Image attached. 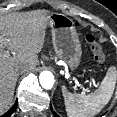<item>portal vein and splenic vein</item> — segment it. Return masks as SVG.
Here are the masks:
<instances>
[{
	"mask_svg": "<svg viewBox=\"0 0 117 117\" xmlns=\"http://www.w3.org/2000/svg\"><path fill=\"white\" fill-rule=\"evenodd\" d=\"M5 56H6V57L9 56V53H6Z\"/></svg>",
	"mask_w": 117,
	"mask_h": 117,
	"instance_id": "obj_1",
	"label": "portal vein and splenic vein"
}]
</instances>
